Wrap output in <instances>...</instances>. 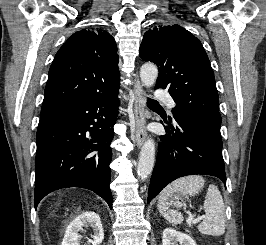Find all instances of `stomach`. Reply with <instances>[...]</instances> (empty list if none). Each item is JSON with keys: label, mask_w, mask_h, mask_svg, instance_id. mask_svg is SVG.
I'll use <instances>...</instances> for the list:
<instances>
[{"label": "stomach", "mask_w": 266, "mask_h": 245, "mask_svg": "<svg viewBox=\"0 0 266 245\" xmlns=\"http://www.w3.org/2000/svg\"><path fill=\"white\" fill-rule=\"evenodd\" d=\"M168 207H174V209H181V207H185L186 201L182 199V195L180 193H175V195H171L169 199H167Z\"/></svg>", "instance_id": "1"}]
</instances>
